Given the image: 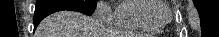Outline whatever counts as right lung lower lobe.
Segmentation results:
<instances>
[{
    "label": "right lung lower lobe",
    "instance_id": "right-lung-lower-lobe-1",
    "mask_svg": "<svg viewBox=\"0 0 219 37\" xmlns=\"http://www.w3.org/2000/svg\"><path fill=\"white\" fill-rule=\"evenodd\" d=\"M62 10H71V11H78L82 12L84 14L90 15L91 13L81 9L80 7L70 4V3H64V2H58L53 3L50 5H46L43 7H39L35 9V16H34V26L35 28L38 26V24L41 22L42 19H44L46 16Z\"/></svg>",
    "mask_w": 219,
    "mask_h": 37
}]
</instances>
